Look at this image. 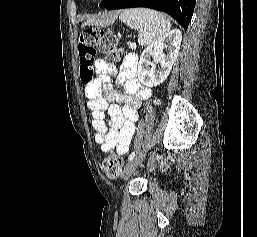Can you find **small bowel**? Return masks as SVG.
I'll return each instance as SVG.
<instances>
[{"label": "small bowel", "instance_id": "small-bowel-1", "mask_svg": "<svg viewBox=\"0 0 257 237\" xmlns=\"http://www.w3.org/2000/svg\"><path fill=\"white\" fill-rule=\"evenodd\" d=\"M97 77L85 87L87 105L91 110V124L95 130L94 141L104 152L115 150L125 155L135 132L138 109L150 97V89L136 78V57L129 54L117 82L124 93L113 90L108 73L112 66L103 59L95 63ZM108 114V120L105 114Z\"/></svg>", "mask_w": 257, "mask_h": 237}]
</instances>
